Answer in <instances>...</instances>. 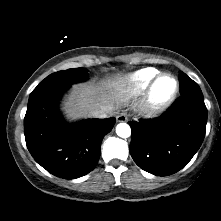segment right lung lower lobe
I'll use <instances>...</instances> for the list:
<instances>
[{"mask_svg":"<svg viewBox=\"0 0 221 221\" xmlns=\"http://www.w3.org/2000/svg\"><path fill=\"white\" fill-rule=\"evenodd\" d=\"M69 87L29 97L24 134L27 148L38 164L57 177L75 179L97 165L101 141L112 130L115 118L66 123L58 103Z\"/></svg>","mask_w":221,"mask_h":221,"instance_id":"98d812e1","label":"right lung lower lobe"}]
</instances>
